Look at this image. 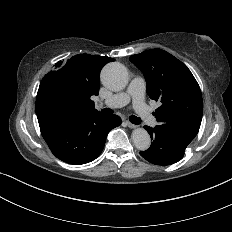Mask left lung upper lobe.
Wrapping results in <instances>:
<instances>
[{
    "mask_svg": "<svg viewBox=\"0 0 232 232\" xmlns=\"http://www.w3.org/2000/svg\"><path fill=\"white\" fill-rule=\"evenodd\" d=\"M144 74L147 94L161 106L153 113L155 128L189 144L197 135L203 114L200 87L191 71L177 58L161 49L130 56Z\"/></svg>",
    "mask_w": 232,
    "mask_h": 232,
    "instance_id": "obj_1",
    "label": "left lung upper lobe"
}]
</instances>
